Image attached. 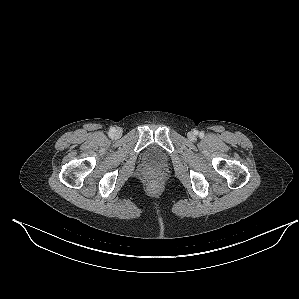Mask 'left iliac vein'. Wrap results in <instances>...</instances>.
<instances>
[{
	"label": "left iliac vein",
	"mask_w": 299,
	"mask_h": 299,
	"mask_svg": "<svg viewBox=\"0 0 299 299\" xmlns=\"http://www.w3.org/2000/svg\"><path fill=\"white\" fill-rule=\"evenodd\" d=\"M188 137H189L190 139H194L195 136H194L193 133H189V134H188Z\"/></svg>",
	"instance_id": "1"
}]
</instances>
